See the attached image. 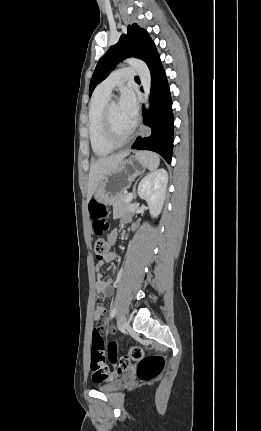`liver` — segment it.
Returning <instances> with one entry per match:
<instances>
[{
	"label": "liver",
	"mask_w": 261,
	"mask_h": 431,
	"mask_svg": "<svg viewBox=\"0 0 261 431\" xmlns=\"http://www.w3.org/2000/svg\"><path fill=\"white\" fill-rule=\"evenodd\" d=\"M128 154V151H124L116 155L100 158L92 163L88 179L87 201L92 198L103 177L115 171Z\"/></svg>",
	"instance_id": "liver-1"
}]
</instances>
